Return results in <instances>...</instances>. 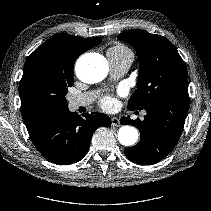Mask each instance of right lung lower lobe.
I'll use <instances>...</instances> for the list:
<instances>
[{"label":"right lung lower lobe","instance_id":"obj_1","mask_svg":"<svg viewBox=\"0 0 211 211\" xmlns=\"http://www.w3.org/2000/svg\"><path fill=\"white\" fill-rule=\"evenodd\" d=\"M100 126H111L110 117L94 112L81 118L67 108L46 115L27 130L45 159L67 165L80 161L86 155L92 135Z\"/></svg>","mask_w":211,"mask_h":211}]
</instances>
